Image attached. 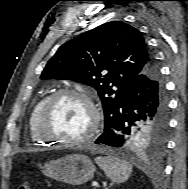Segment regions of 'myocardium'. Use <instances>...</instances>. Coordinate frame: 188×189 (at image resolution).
Returning a JSON list of instances; mask_svg holds the SVG:
<instances>
[{"label":"myocardium","instance_id":"1","mask_svg":"<svg viewBox=\"0 0 188 189\" xmlns=\"http://www.w3.org/2000/svg\"><path fill=\"white\" fill-rule=\"evenodd\" d=\"M63 97H75L81 99L85 101L89 106V109L92 114V122L88 130L80 137L73 139H64L58 136H51L46 132V120L50 114V111L53 105L55 104V102ZM100 124H101L100 110L97 104L95 103V101L93 100V98L89 94L74 89H61L51 94L45 100L38 114L35 128L38 137L45 142H53V143L56 142L63 146H74V145L82 144L93 138L99 131Z\"/></svg>","mask_w":188,"mask_h":189}]
</instances>
